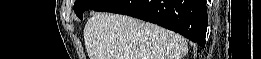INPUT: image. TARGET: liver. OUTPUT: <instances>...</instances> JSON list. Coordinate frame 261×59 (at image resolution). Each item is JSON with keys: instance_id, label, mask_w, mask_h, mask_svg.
<instances>
[{"instance_id": "6515ba94", "label": "liver", "mask_w": 261, "mask_h": 59, "mask_svg": "<svg viewBox=\"0 0 261 59\" xmlns=\"http://www.w3.org/2000/svg\"><path fill=\"white\" fill-rule=\"evenodd\" d=\"M89 59H181L185 38L124 15L95 13L84 27Z\"/></svg>"}]
</instances>
